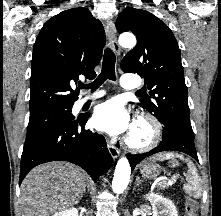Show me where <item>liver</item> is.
Returning a JSON list of instances; mask_svg holds the SVG:
<instances>
[{"label": "liver", "mask_w": 221, "mask_h": 216, "mask_svg": "<svg viewBox=\"0 0 221 216\" xmlns=\"http://www.w3.org/2000/svg\"><path fill=\"white\" fill-rule=\"evenodd\" d=\"M86 178L81 168L62 161L33 168L21 185L22 216H50L78 204Z\"/></svg>", "instance_id": "liver-1"}]
</instances>
